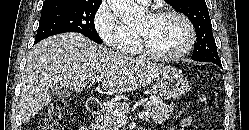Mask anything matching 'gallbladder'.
Returning <instances> with one entry per match:
<instances>
[{"label": "gallbladder", "instance_id": "gallbladder-1", "mask_svg": "<svg viewBox=\"0 0 249 130\" xmlns=\"http://www.w3.org/2000/svg\"><path fill=\"white\" fill-rule=\"evenodd\" d=\"M52 95L58 96V97H68L70 93L66 88L58 86L52 90Z\"/></svg>", "mask_w": 249, "mask_h": 130}]
</instances>
